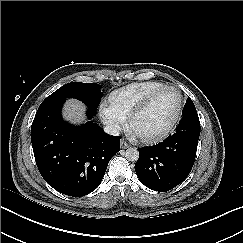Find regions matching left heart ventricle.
Returning a JSON list of instances; mask_svg holds the SVG:
<instances>
[{"mask_svg": "<svg viewBox=\"0 0 243 243\" xmlns=\"http://www.w3.org/2000/svg\"><path fill=\"white\" fill-rule=\"evenodd\" d=\"M179 102L176 91L169 90L151 101L135 120V128L141 134L154 136L163 132L173 120Z\"/></svg>", "mask_w": 243, "mask_h": 243, "instance_id": "1", "label": "left heart ventricle"}]
</instances>
